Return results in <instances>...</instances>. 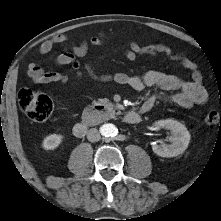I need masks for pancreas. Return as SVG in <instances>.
Returning <instances> with one entry per match:
<instances>
[{
	"label": "pancreas",
	"instance_id": "pancreas-1",
	"mask_svg": "<svg viewBox=\"0 0 221 221\" xmlns=\"http://www.w3.org/2000/svg\"><path fill=\"white\" fill-rule=\"evenodd\" d=\"M103 102L108 105L109 114L107 117H101V116H93L89 117L87 115H83V120L88 123L89 125H96L98 123H101L104 120H108L109 118H113L116 114L115 109L113 108L114 105L109 103L108 99H103Z\"/></svg>",
	"mask_w": 221,
	"mask_h": 221
}]
</instances>
